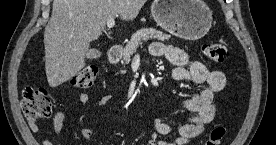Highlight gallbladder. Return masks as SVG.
<instances>
[{"instance_id": "bac80fb5", "label": "gallbladder", "mask_w": 276, "mask_h": 145, "mask_svg": "<svg viewBox=\"0 0 276 145\" xmlns=\"http://www.w3.org/2000/svg\"><path fill=\"white\" fill-rule=\"evenodd\" d=\"M86 57L88 59H95V58H98L99 57V51L97 49H90L87 54H86Z\"/></svg>"}]
</instances>
